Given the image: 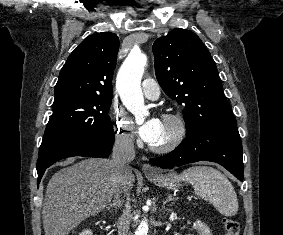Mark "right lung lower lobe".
<instances>
[{
	"instance_id": "obj_1",
	"label": "right lung lower lobe",
	"mask_w": 283,
	"mask_h": 235,
	"mask_svg": "<svg viewBox=\"0 0 283 235\" xmlns=\"http://www.w3.org/2000/svg\"><path fill=\"white\" fill-rule=\"evenodd\" d=\"M114 131L97 135L93 138H80L64 143L43 156L37 161L38 183L45 170L58 160L72 156L100 157L109 155L114 143Z\"/></svg>"
}]
</instances>
